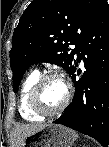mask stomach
<instances>
[{
  "label": "stomach",
  "mask_w": 109,
  "mask_h": 147,
  "mask_svg": "<svg viewBox=\"0 0 109 147\" xmlns=\"http://www.w3.org/2000/svg\"><path fill=\"white\" fill-rule=\"evenodd\" d=\"M75 139L76 133L73 130L62 125L47 124L28 135L23 147H72Z\"/></svg>",
  "instance_id": "0dacf381"
}]
</instances>
